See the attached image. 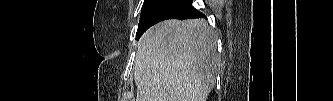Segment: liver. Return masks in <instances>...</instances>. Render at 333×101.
<instances>
[{
  "instance_id": "6515ba94",
  "label": "liver",
  "mask_w": 333,
  "mask_h": 101,
  "mask_svg": "<svg viewBox=\"0 0 333 101\" xmlns=\"http://www.w3.org/2000/svg\"><path fill=\"white\" fill-rule=\"evenodd\" d=\"M136 101H206L220 68L215 34L205 20H166L140 39Z\"/></svg>"
}]
</instances>
